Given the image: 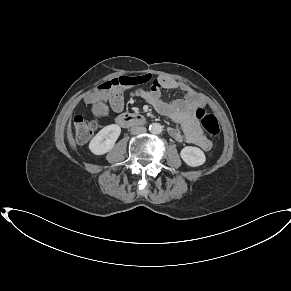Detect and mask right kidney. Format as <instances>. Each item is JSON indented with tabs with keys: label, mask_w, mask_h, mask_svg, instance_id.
<instances>
[{
	"label": "right kidney",
	"mask_w": 291,
	"mask_h": 291,
	"mask_svg": "<svg viewBox=\"0 0 291 291\" xmlns=\"http://www.w3.org/2000/svg\"><path fill=\"white\" fill-rule=\"evenodd\" d=\"M121 128L111 124L101 129L90 141L89 150L95 155H103L109 152L120 136Z\"/></svg>",
	"instance_id": "right-kidney-1"
}]
</instances>
